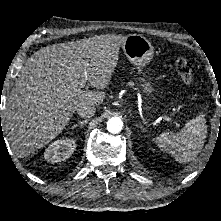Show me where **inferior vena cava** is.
<instances>
[{"mask_svg":"<svg viewBox=\"0 0 221 221\" xmlns=\"http://www.w3.org/2000/svg\"><path fill=\"white\" fill-rule=\"evenodd\" d=\"M96 108L93 104H85L77 109V113L84 119H89L94 116Z\"/></svg>","mask_w":221,"mask_h":221,"instance_id":"1","label":"inferior vena cava"}]
</instances>
